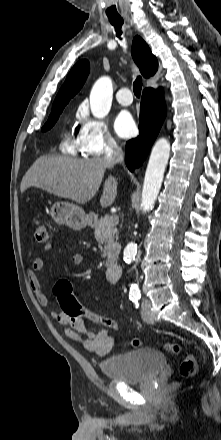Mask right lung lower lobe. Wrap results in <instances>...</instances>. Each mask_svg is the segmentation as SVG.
Instances as JSON below:
<instances>
[{"mask_svg":"<svg viewBox=\"0 0 221 440\" xmlns=\"http://www.w3.org/2000/svg\"><path fill=\"white\" fill-rule=\"evenodd\" d=\"M166 116L161 89L147 88L140 104V135L126 143V165L133 171L146 159Z\"/></svg>","mask_w":221,"mask_h":440,"instance_id":"obj_1","label":"right lung lower lobe"}]
</instances>
